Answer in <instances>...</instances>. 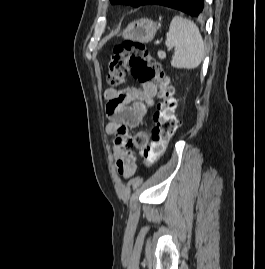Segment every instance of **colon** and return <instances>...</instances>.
<instances>
[{
    "label": "colon",
    "mask_w": 265,
    "mask_h": 269,
    "mask_svg": "<svg viewBox=\"0 0 265 269\" xmlns=\"http://www.w3.org/2000/svg\"><path fill=\"white\" fill-rule=\"evenodd\" d=\"M129 72L141 82L157 85L158 103L153 115L151 140L143 150L144 163L152 164L164 153L177 128L175 90L165 70L143 43L128 40L114 47L108 62L107 83L110 88L124 84Z\"/></svg>",
    "instance_id": "1"
}]
</instances>
